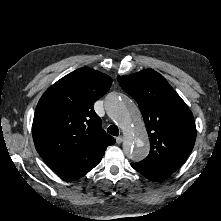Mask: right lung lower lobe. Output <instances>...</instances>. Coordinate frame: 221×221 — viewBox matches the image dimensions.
I'll use <instances>...</instances> for the list:
<instances>
[{
    "label": "right lung lower lobe",
    "instance_id": "1",
    "mask_svg": "<svg viewBox=\"0 0 221 221\" xmlns=\"http://www.w3.org/2000/svg\"><path fill=\"white\" fill-rule=\"evenodd\" d=\"M107 147L95 146L48 165L54 172L66 179H78L99 164Z\"/></svg>",
    "mask_w": 221,
    "mask_h": 221
}]
</instances>
